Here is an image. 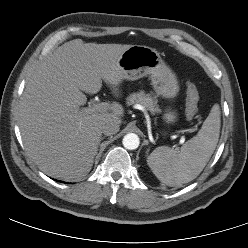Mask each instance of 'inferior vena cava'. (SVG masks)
<instances>
[{"label": "inferior vena cava", "instance_id": "1", "mask_svg": "<svg viewBox=\"0 0 248 248\" xmlns=\"http://www.w3.org/2000/svg\"><path fill=\"white\" fill-rule=\"evenodd\" d=\"M119 123L114 120H106L101 126L102 133L106 136L116 134L119 131Z\"/></svg>", "mask_w": 248, "mask_h": 248}]
</instances>
